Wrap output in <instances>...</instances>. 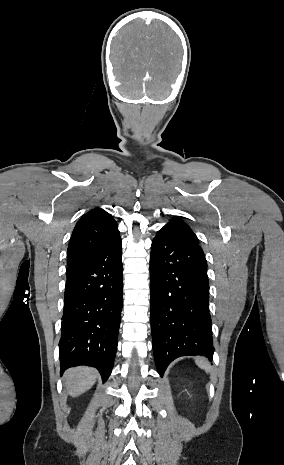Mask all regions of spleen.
<instances>
[{"instance_id": "spleen-1", "label": "spleen", "mask_w": 284, "mask_h": 465, "mask_svg": "<svg viewBox=\"0 0 284 465\" xmlns=\"http://www.w3.org/2000/svg\"><path fill=\"white\" fill-rule=\"evenodd\" d=\"M195 363H196V365H198V367H200V369H204V371H206V373H209L210 367H209L208 363H206V361H204V359H200V357H196Z\"/></svg>"}]
</instances>
